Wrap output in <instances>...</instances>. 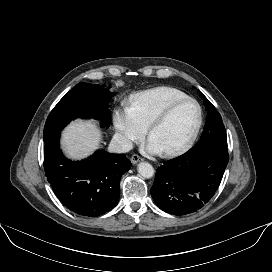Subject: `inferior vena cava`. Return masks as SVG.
Instances as JSON below:
<instances>
[{"label":"inferior vena cava","instance_id":"obj_1","mask_svg":"<svg viewBox=\"0 0 272 272\" xmlns=\"http://www.w3.org/2000/svg\"><path fill=\"white\" fill-rule=\"evenodd\" d=\"M133 148L130 140L123 137L121 134H115L109 144L108 150L112 153H126Z\"/></svg>","mask_w":272,"mask_h":272}]
</instances>
